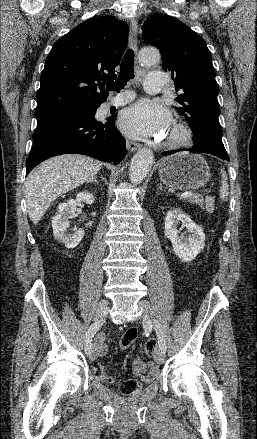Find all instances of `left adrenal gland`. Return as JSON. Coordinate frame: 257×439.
Returning <instances> with one entry per match:
<instances>
[{"instance_id": "1", "label": "left adrenal gland", "mask_w": 257, "mask_h": 439, "mask_svg": "<svg viewBox=\"0 0 257 439\" xmlns=\"http://www.w3.org/2000/svg\"><path fill=\"white\" fill-rule=\"evenodd\" d=\"M158 190H163L162 184H160Z\"/></svg>"}]
</instances>
